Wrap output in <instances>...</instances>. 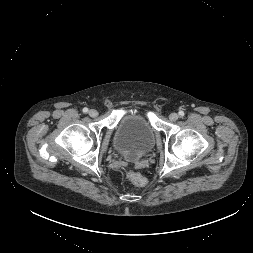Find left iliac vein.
Here are the masks:
<instances>
[{
    "label": "left iliac vein",
    "instance_id": "4c4485c4",
    "mask_svg": "<svg viewBox=\"0 0 253 253\" xmlns=\"http://www.w3.org/2000/svg\"><path fill=\"white\" fill-rule=\"evenodd\" d=\"M178 118H179V115H178L177 113H171V114L169 115V119H170V121H172V122L176 121Z\"/></svg>",
    "mask_w": 253,
    "mask_h": 253
}]
</instances>
